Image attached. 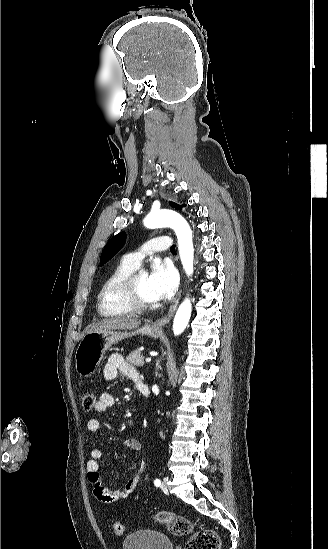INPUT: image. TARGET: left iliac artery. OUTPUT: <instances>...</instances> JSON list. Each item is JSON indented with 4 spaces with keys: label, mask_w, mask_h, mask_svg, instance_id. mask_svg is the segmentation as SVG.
<instances>
[{
    "label": "left iliac artery",
    "mask_w": 328,
    "mask_h": 549,
    "mask_svg": "<svg viewBox=\"0 0 328 549\" xmlns=\"http://www.w3.org/2000/svg\"><path fill=\"white\" fill-rule=\"evenodd\" d=\"M155 486L159 487L161 485V481L159 479H156L154 481Z\"/></svg>",
    "instance_id": "44dca946"
}]
</instances>
